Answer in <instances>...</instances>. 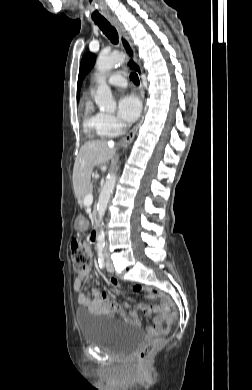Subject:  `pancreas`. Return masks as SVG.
<instances>
[{"mask_svg": "<svg viewBox=\"0 0 252 390\" xmlns=\"http://www.w3.org/2000/svg\"><path fill=\"white\" fill-rule=\"evenodd\" d=\"M79 205H80V206H83V205H84V202H83V201H80V202H79Z\"/></svg>", "mask_w": 252, "mask_h": 390, "instance_id": "obj_1", "label": "pancreas"}]
</instances>
